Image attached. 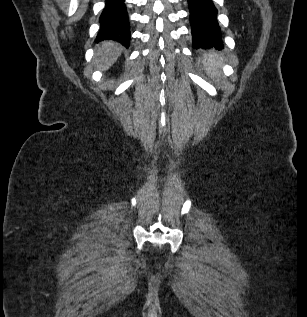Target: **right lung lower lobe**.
Wrapping results in <instances>:
<instances>
[{
    "instance_id": "98d812e1",
    "label": "right lung lower lobe",
    "mask_w": 307,
    "mask_h": 317,
    "mask_svg": "<svg viewBox=\"0 0 307 317\" xmlns=\"http://www.w3.org/2000/svg\"><path fill=\"white\" fill-rule=\"evenodd\" d=\"M100 29L96 41L115 40L128 48L130 25L124 0H106L99 18Z\"/></svg>"
}]
</instances>
